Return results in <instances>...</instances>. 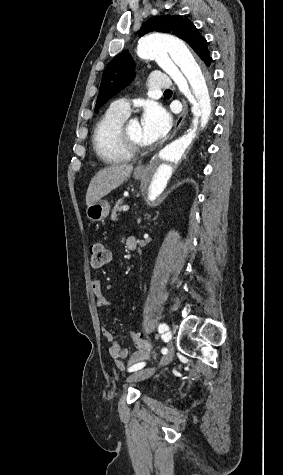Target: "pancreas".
Wrapping results in <instances>:
<instances>
[{
  "label": "pancreas",
  "instance_id": "cf45deb5",
  "mask_svg": "<svg viewBox=\"0 0 283 475\" xmlns=\"http://www.w3.org/2000/svg\"><path fill=\"white\" fill-rule=\"evenodd\" d=\"M123 198H120V200H117V202H115V206L112 210V214H111V220H117V216H119L118 212H121L122 210V206H123Z\"/></svg>",
  "mask_w": 283,
  "mask_h": 475
}]
</instances>
